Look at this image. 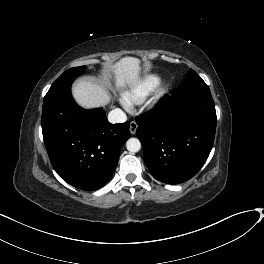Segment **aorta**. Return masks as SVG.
Returning <instances> with one entry per match:
<instances>
[{
	"label": "aorta",
	"instance_id": "aorta-1",
	"mask_svg": "<svg viewBox=\"0 0 264 264\" xmlns=\"http://www.w3.org/2000/svg\"><path fill=\"white\" fill-rule=\"evenodd\" d=\"M126 148L131 153H136L141 149V143L137 138H130L126 142Z\"/></svg>",
	"mask_w": 264,
	"mask_h": 264
}]
</instances>
